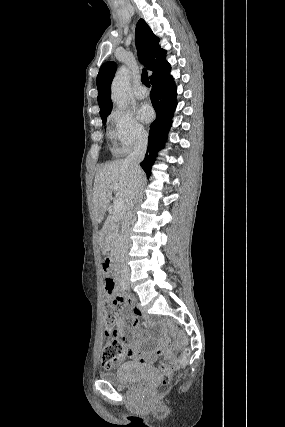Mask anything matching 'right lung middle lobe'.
Instances as JSON below:
<instances>
[{
  "instance_id": "right-lung-middle-lobe-1",
  "label": "right lung middle lobe",
  "mask_w": 285,
  "mask_h": 427,
  "mask_svg": "<svg viewBox=\"0 0 285 427\" xmlns=\"http://www.w3.org/2000/svg\"><path fill=\"white\" fill-rule=\"evenodd\" d=\"M102 121H103V123L105 124V123H106V118H103V119H102Z\"/></svg>"
}]
</instances>
